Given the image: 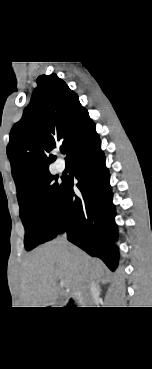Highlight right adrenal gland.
<instances>
[{"label":"right adrenal gland","mask_w":152,"mask_h":369,"mask_svg":"<svg viewBox=\"0 0 152 369\" xmlns=\"http://www.w3.org/2000/svg\"><path fill=\"white\" fill-rule=\"evenodd\" d=\"M99 283H102V284H106L107 283V279L105 278V274L103 273L100 277L99 280H97V285L99 287Z\"/></svg>","instance_id":"2a0ac1e0"}]
</instances>
